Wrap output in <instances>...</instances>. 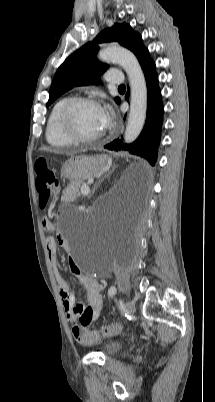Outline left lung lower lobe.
<instances>
[{"instance_id":"obj_1","label":"left lung lower lobe","mask_w":215,"mask_h":402,"mask_svg":"<svg viewBox=\"0 0 215 402\" xmlns=\"http://www.w3.org/2000/svg\"><path fill=\"white\" fill-rule=\"evenodd\" d=\"M141 67L147 84V117L144 128L139 137L131 144H123L121 139H116L104 147L116 151L128 150L132 154L144 157L154 166L161 138L163 104L154 61L150 58ZM128 96L129 91L126 94V99ZM119 102L120 100L117 103Z\"/></svg>"}]
</instances>
